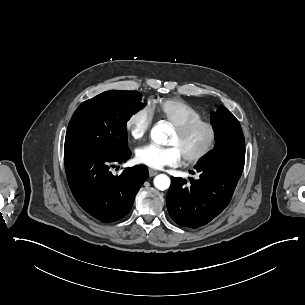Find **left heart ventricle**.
Masks as SVG:
<instances>
[{
    "label": "left heart ventricle",
    "mask_w": 305,
    "mask_h": 305,
    "mask_svg": "<svg viewBox=\"0 0 305 305\" xmlns=\"http://www.w3.org/2000/svg\"><path fill=\"white\" fill-rule=\"evenodd\" d=\"M210 133L206 127H199L188 134H180L173 129L168 143L175 145L182 157L199 152L209 141Z\"/></svg>",
    "instance_id": "obj_1"
}]
</instances>
